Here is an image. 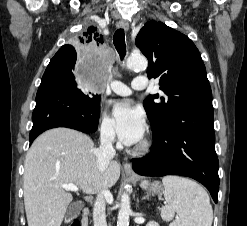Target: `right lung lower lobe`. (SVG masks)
Returning <instances> with one entry per match:
<instances>
[{"label":"right lung lower lobe","mask_w":247,"mask_h":226,"mask_svg":"<svg viewBox=\"0 0 247 226\" xmlns=\"http://www.w3.org/2000/svg\"><path fill=\"white\" fill-rule=\"evenodd\" d=\"M100 108L90 102L63 70L48 65L36 95L30 144L45 130L68 127L84 133L95 132Z\"/></svg>","instance_id":"98d812e1"}]
</instances>
